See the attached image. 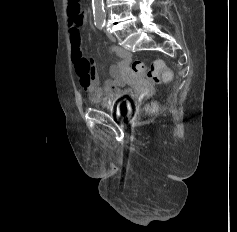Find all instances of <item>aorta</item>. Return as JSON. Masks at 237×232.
I'll return each mask as SVG.
<instances>
[{
	"mask_svg": "<svg viewBox=\"0 0 237 232\" xmlns=\"http://www.w3.org/2000/svg\"><path fill=\"white\" fill-rule=\"evenodd\" d=\"M92 7L95 23H104L106 14L104 11L103 0H92Z\"/></svg>",
	"mask_w": 237,
	"mask_h": 232,
	"instance_id": "aorta-1",
	"label": "aorta"
}]
</instances>
